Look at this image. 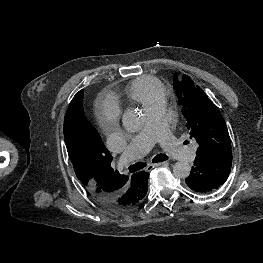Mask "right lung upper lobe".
Returning a JSON list of instances; mask_svg holds the SVG:
<instances>
[{"instance_id":"right-lung-upper-lobe-1","label":"right lung upper lobe","mask_w":263,"mask_h":263,"mask_svg":"<svg viewBox=\"0 0 263 263\" xmlns=\"http://www.w3.org/2000/svg\"><path fill=\"white\" fill-rule=\"evenodd\" d=\"M79 92L72 99L64 119L65 144L75 173L95 200L126 193L129 203L121 212L129 211L140 204L147 189L137 185L135 174L128 177L113 170L112 156L91 124L85 129L70 124L69 116Z\"/></svg>"}]
</instances>
